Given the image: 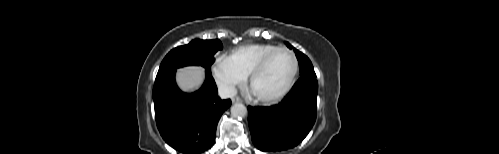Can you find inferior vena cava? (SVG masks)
<instances>
[{
  "label": "inferior vena cava",
  "mask_w": 499,
  "mask_h": 154,
  "mask_svg": "<svg viewBox=\"0 0 499 154\" xmlns=\"http://www.w3.org/2000/svg\"><path fill=\"white\" fill-rule=\"evenodd\" d=\"M237 93V90L232 85H222L218 88V94L222 99L232 98Z\"/></svg>",
  "instance_id": "obj_1"
}]
</instances>
